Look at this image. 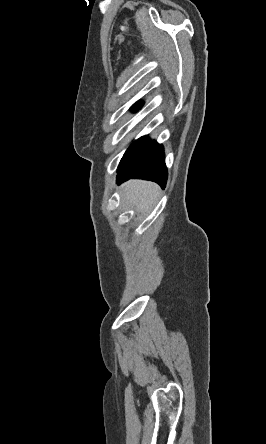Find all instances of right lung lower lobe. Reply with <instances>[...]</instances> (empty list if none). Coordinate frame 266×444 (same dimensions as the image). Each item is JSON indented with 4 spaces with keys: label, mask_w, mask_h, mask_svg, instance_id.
I'll use <instances>...</instances> for the list:
<instances>
[{
    "label": "right lung lower lobe",
    "mask_w": 266,
    "mask_h": 444,
    "mask_svg": "<svg viewBox=\"0 0 266 444\" xmlns=\"http://www.w3.org/2000/svg\"><path fill=\"white\" fill-rule=\"evenodd\" d=\"M131 178L151 180L165 187L167 168L161 144L143 136L130 145L120 161L117 183Z\"/></svg>",
    "instance_id": "obj_1"
}]
</instances>
